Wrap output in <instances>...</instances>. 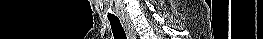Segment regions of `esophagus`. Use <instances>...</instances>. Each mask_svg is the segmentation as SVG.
Here are the masks:
<instances>
[{"mask_svg":"<svg viewBox=\"0 0 263 39\" xmlns=\"http://www.w3.org/2000/svg\"><path fill=\"white\" fill-rule=\"evenodd\" d=\"M122 21H123V25L127 33L128 39H135L137 37V33L131 21L128 18H123Z\"/></svg>","mask_w":263,"mask_h":39,"instance_id":"1","label":"esophagus"}]
</instances>
